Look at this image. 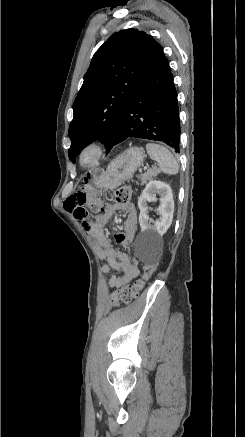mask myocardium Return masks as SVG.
Here are the masks:
<instances>
[{
  "label": "myocardium",
  "mask_w": 245,
  "mask_h": 437,
  "mask_svg": "<svg viewBox=\"0 0 245 437\" xmlns=\"http://www.w3.org/2000/svg\"><path fill=\"white\" fill-rule=\"evenodd\" d=\"M105 146L103 142L94 140L84 145L78 154V161L83 167H91L98 163L104 156ZM88 156V159L86 157Z\"/></svg>",
  "instance_id": "1"
}]
</instances>
